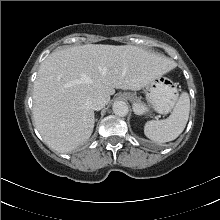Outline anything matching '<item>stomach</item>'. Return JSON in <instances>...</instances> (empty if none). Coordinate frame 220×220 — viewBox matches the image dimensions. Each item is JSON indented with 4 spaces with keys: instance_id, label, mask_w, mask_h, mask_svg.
<instances>
[{
    "instance_id": "1",
    "label": "stomach",
    "mask_w": 220,
    "mask_h": 220,
    "mask_svg": "<svg viewBox=\"0 0 220 220\" xmlns=\"http://www.w3.org/2000/svg\"><path fill=\"white\" fill-rule=\"evenodd\" d=\"M124 95L133 101L137 114H145L148 112V108L142 105L138 100L132 98L130 94L126 93ZM146 97L153 110L161 114H166L173 109L178 95L173 81L167 77L160 76L146 86Z\"/></svg>"
}]
</instances>
